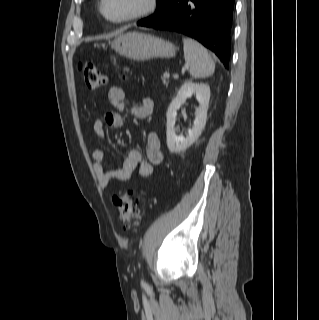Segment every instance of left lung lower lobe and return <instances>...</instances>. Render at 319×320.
Here are the masks:
<instances>
[{
    "label": "left lung lower lobe",
    "mask_w": 319,
    "mask_h": 320,
    "mask_svg": "<svg viewBox=\"0 0 319 320\" xmlns=\"http://www.w3.org/2000/svg\"><path fill=\"white\" fill-rule=\"evenodd\" d=\"M234 0H163L137 24L186 34L213 51L229 68Z\"/></svg>",
    "instance_id": "left-lung-lower-lobe-1"
}]
</instances>
